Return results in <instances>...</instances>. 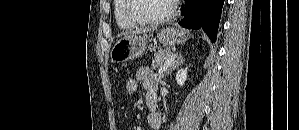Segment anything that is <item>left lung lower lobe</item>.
<instances>
[{
    "mask_svg": "<svg viewBox=\"0 0 299 130\" xmlns=\"http://www.w3.org/2000/svg\"><path fill=\"white\" fill-rule=\"evenodd\" d=\"M224 0H186L181 7L184 19L180 25L189 29L202 28L215 42Z\"/></svg>",
    "mask_w": 299,
    "mask_h": 130,
    "instance_id": "0a47b994",
    "label": "left lung lower lobe"
}]
</instances>
